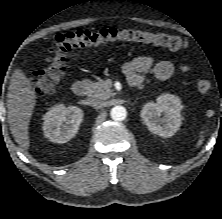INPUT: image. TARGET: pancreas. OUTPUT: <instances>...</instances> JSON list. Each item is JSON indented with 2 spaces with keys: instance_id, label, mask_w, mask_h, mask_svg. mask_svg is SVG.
<instances>
[{
  "instance_id": "cf45deb5",
  "label": "pancreas",
  "mask_w": 222,
  "mask_h": 219,
  "mask_svg": "<svg viewBox=\"0 0 222 219\" xmlns=\"http://www.w3.org/2000/svg\"><path fill=\"white\" fill-rule=\"evenodd\" d=\"M88 84V96L98 99H108L111 96L110 88L105 85L104 80L92 82L87 80Z\"/></svg>"
}]
</instances>
